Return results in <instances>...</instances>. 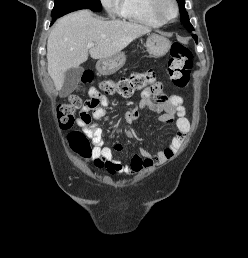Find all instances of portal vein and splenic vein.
<instances>
[{"mask_svg": "<svg viewBox=\"0 0 248 258\" xmlns=\"http://www.w3.org/2000/svg\"><path fill=\"white\" fill-rule=\"evenodd\" d=\"M94 46H95L94 43H88V44H87V47H88V48H92V47H94Z\"/></svg>", "mask_w": 248, "mask_h": 258, "instance_id": "1", "label": "portal vein and splenic vein"}]
</instances>
